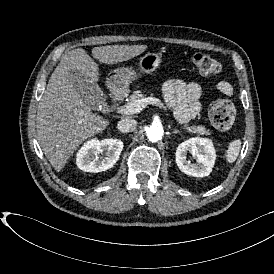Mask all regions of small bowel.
Instances as JSON below:
<instances>
[{
  "label": "small bowel",
  "mask_w": 274,
  "mask_h": 274,
  "mask_svg": "<svg viewBox=\"0 0 274 274\" xmlns=\"http://www.w3.org/2000/svg\"><path fill=\"white\" fill-rule=\"evenodd\" d=\"M213 87L225 96H231L234 93L233 86L224 80L214 83ZM201 92V83L198 81L186 83L180 79H169L163 85L166 104L181 123L200 114L202 110V104L199 101Z\"/></svg>",
  "instance_id": "1"
}]
</instances>
